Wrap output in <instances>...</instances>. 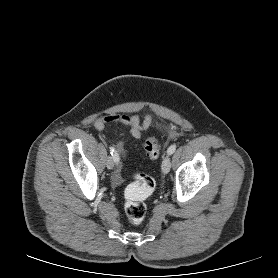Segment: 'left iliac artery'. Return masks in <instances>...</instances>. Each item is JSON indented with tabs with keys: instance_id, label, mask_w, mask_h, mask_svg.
Returning a JSON list of instances; mask_svg holds the SVG:
<instances>
[{
	"instance_id": "44dca946",
	"label": "left iliac artery",
	"mask_w": 278,
	"mask_h": 278,
	"mask_svg": "<svg viewBox=\"0 0 278 278\" xmlns=\"http://www.w3.org/2000/svg\"><path fill=\"white\" fill-rule=\"evenodd\" d=\"M175 150H176V144H172L167 150L168 155L173 154Z\"/></svg>"
}]
</instances>
